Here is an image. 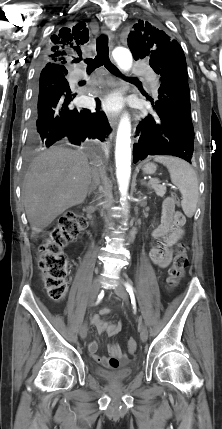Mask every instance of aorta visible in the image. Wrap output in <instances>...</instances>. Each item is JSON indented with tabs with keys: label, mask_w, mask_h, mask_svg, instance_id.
<instances>
[{
	"label": "aorta",
	"mask_w": 222,
	"mask_h": 429,
	"mask_svg": "<svg viewBox=\"0 0 222 429\" xmlns=\"http://www.w3.org/2000/svg\"><path fill=\"white\" fill-rule=\"evenodd\" d=\"M113 57L118 66L127 71L132 66V55L130 51L123 47H118L113 51ZM131 123L127 114L121 118L116 137V176L121 194V201L125 205L129 181L131 176Z\"/></svg>",
	"instance_id": "aorta-1"
}]
</instances>
